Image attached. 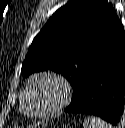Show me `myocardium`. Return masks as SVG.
Returning a JSON list of instances; mask_svg holds the SVG:
<instances>
[{"label": "myocardium", "mask_w": 125, "mask_h": 128, "mask_svg": "<svg viewBox=\"0 0 125 128\" xmlns=\"http://www.w3.org/2000/svg\"><path fill=\"white\" fill-rule=\"evenodd\" d=\"M39 81L51 82L55 85L58 96L51 107L48 109L39 111V112H30L26 109L25 101L27 93L32 89L33 85ZM71 86L68 80L62 75L55 72H39L33 74L27 81L24 86L21 96H20V108L24 115L32 119H44L49 118L57 113H59L62 109H64L71 98Z\"/></svg>", "instance_id": "f54148a6"}]
</instances>
